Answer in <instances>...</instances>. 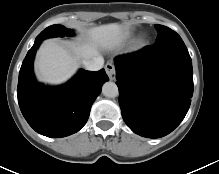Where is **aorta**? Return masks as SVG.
Returning a JSON list of instances; mask_svg holds the SVG:
<instances>
[{
    "mask_svg": "<svg viewBox=\"0 0 219 174\" xmlns=\"http://www.w3.org/2000/svg\"><path fill=\"white\" fill-rule=\"evenodd\" d=\"M102 93L108 98H115L118 96V87L114 82H106L102 87Z\"/></svg>",
    "mask_w": 219,
    "mask_h": 174,
    "instance_id": "aorta-1",
    "label": "aorta"
}]
</instances>
